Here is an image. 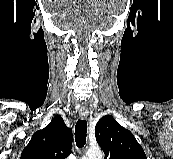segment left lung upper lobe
Here are the masks:
<instances>
[{"mask_svg": "<svg viewBox=\"0 0 173 159\" xmlns=\"http://www.w3.org/2000/svg\"><path fill=\"white\" fill-rule=\"evenodd\" d=\"M95 136L105 153L104 159H147L134 135L111 115H106L97 122Z\"/></svg>", "mask_w": 173, "mask_h": 159, "instance_id": "1", "label": "left lung upper lobe"}]
</instances>
